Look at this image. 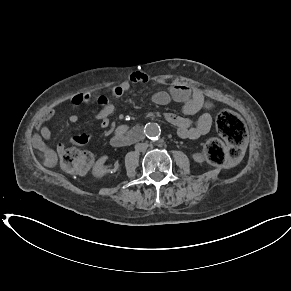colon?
Instances as JSON below:
<instances>
[{"mask_svg":"<svg viewBox=\"0 0 291 291\" xmlns=\"http://www.w3.org/2000/svg\"><path fill=\"white\" fill-rule=\"evenodd\" d=\"M216 126L219 134L226 143L220 139L212 138L207 141L204 154L206 159L218 166H223L235 161L241 153L247 131L240 117L231 110H222L216 118ZM75 147L66 149L61 155V165L69 173L85 175L93 164L94 156L88 150Z\"/></svg>","mask_w":291,"mask_h":291,"instance_id":"5ec220e1","label":"colon"}]
</instances>
